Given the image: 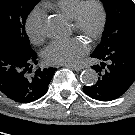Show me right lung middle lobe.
<instances>
[{
    "mask_svg": "<svg viewBox=\"0 0 135 135\" xmlns=\"http://www.w3.org/2000/svg\"><path fill=\"white\" fill-rule=\"evenodd\" d=\"M40 0H0V35L8 36L23 49L31 51L25 21Z\"/></svg>",
    "mask_w": 135,
    "mask_h": 135,
    "instance_id": "obj_1",
    "label": "right lung middle lobe"
}]
</instances>
